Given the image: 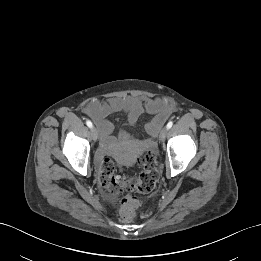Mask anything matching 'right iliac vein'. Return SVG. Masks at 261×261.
I'll return each instance as SVG.
<instances>
[{
    "label": "right iliac vein",
    "instance_id": "63e3f726",
    "mask_svg": "<svg viewBox=\"0 0 261 261\" xmlns=\"http://www.w3.org/2000/svg\"><path fill=\"white\" fill-rule=\"evenodd\" d=\"M91 137L94 141L98 139V130L95 127L91 128Z\"/></svg>",
    "mask_w": 261,
    "mask_h": 261
}]
</instances>
